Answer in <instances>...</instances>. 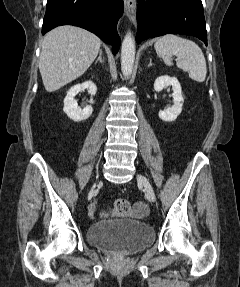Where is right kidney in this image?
Wrapping results in <instances>:
<instances>
[{"mask_svg":"<svg viewBox=\"0 0 240 287\" xmlns=\"http://www.w3.org/2000/svg\"><path fill=\"white\" fill-rule=\"evenodd\" d=\"M85 89H87L89 93L93 96L97 92V87L95 83H93L92 81H86L82 84H77L71 87L64 99L63 111L71 120L75 122H80L88 119L93 112L92 106L89 105L84 108H80L78 106L77 100H75V96L79 92L84 91Z\"/></svg>","mask_w":240,"mask_h":287,"instance_id":"right-kidney-1","label":"right kidney"}]
</instances>
